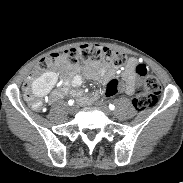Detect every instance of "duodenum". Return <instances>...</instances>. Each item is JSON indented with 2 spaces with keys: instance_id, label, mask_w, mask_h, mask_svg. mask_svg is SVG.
<instances>
[{
  "instance_id": "duodenum-1",
  "label": "duodenum",
  "mask_w": 183,
  "mask_h": 183,
  "mask_svg": "<svg viewBox=\"0 0 183 183\" xmlns=\"http://www.w3.org/2000/svg\"><path fill=\"white\" fill-rule=\"evenodd\" d=\"M99 94L98 93H96V92H94V93H92L90 96H80L79 97V102L81 103V104H83V105H89V104H91V103H93L94 101H96V100H98L99 99Z\"/></svg>"
}]
</instances>
